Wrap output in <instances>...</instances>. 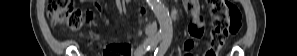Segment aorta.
Here are the masks:
<instances>
[{
    "instance_id": "aorta-1",
    "label": "aorta",
    "mask_w": 297,
    "mask_h": 56,
    "mask_svg": "<svg viewBox=\"0 0 297 56\" xmlns=\"http://www.w3.org/2000/svg\"><path fill=\"white\" fill-rule=\"evenodd\" d=\"M152 10L160 24V31L163 34H172V21L168 9L161 3V0H150Z\"/></svg>"
}]
</instances>
